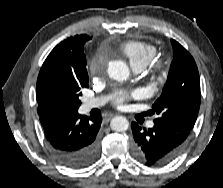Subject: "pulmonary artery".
<instances>
[{
	"label": "pulmonary artery",
	"instance_id": "pulmonary-artery-1",
	"mask_svg": "<svg viewBox=\"0 0 223 188\" xmlns=\"http://www.w3.org/2000/svg\"><path fill=\"white\" fill-rule=\"evenodd\" d=\"M133 70L136 73H139L141 71H143L144 68L140 67V66H132ZM107 98L106 97H99V98H94V99H87L84 102V108L86 110H90L93 108H97L100 107L102 105H104V103L106 102ZM154 123L151 121L148 123V127H153Z\"/></svg>",
	"mask_w": 223,
	"mask_h": 188
}]
</instances>
